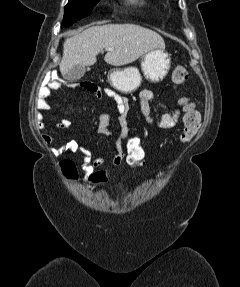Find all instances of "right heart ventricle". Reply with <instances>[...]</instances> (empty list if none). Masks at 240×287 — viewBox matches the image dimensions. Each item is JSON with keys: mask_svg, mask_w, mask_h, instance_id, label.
Returning a JSON list of instances; mask_svg holds the SVG:
<instances>
[{"mask_svg": "<svg viewBox=\"0 0 240 287\" xmlns=\"http://www.w3.org/2000/svg\"><path fill=\"white\" fill-rule=\"evenodd\" d=\"M131 4L142 5L144 2L142 0H127Z\"/></svg>", "mask_w": 240, "mask_h": 287, "instance_id": "e07e8e85", "label": "right heart ventricle"}]
</instances>
